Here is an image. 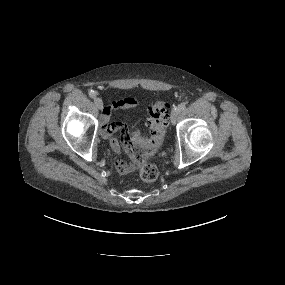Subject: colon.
I'll use <instances>...</instances> for the list:
<instances>
[{"mask_svg": "<svg viewBox=\"0 0 285 285\" xmlns=\"http://www.w3.org/2000/svg\"><path fill=\"white\" fill-rule=\"evenodd\" d=\"M168 113V104L162 101L155 102L149 110L148 133L139 131L134 133L133 138L141 144L146 151H155L163 141L167 128ZM111 128L114 133L121 132L123 134L124 148L131 156L130 166L139 169L142 180L146 182L154 181L158 176L157 168L145 162L143 154L132 145L125 131L121 130L116 124H112Z\"/></svg>", "mask_w": 285, "mask_h": 285, "instance_id": "colon-1", "label": "colon"}]
</instances>
